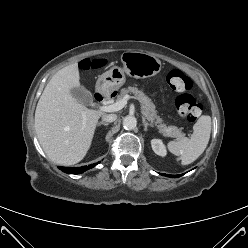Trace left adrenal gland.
<instances>
[{"mask_svg":"<svg viewBox=\"0 0 248 248\" xmlns=\"http://www.w3.org/2000/svg\"><path fill=\"white\" fill-rule=\"evenodd\" d=\"M142 121L144 125V130L147 131L148 126H152V125L149 124L143 116H142Z\"/></svg>","mask_w":248,"mask_h":248,"instance_id":"1","label":"left adrenal gland"}]
</instances>
